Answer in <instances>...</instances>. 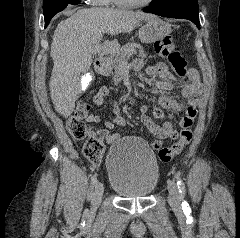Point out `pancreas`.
Masks as SVG:
<instances>
[{
    "label": "pancreas",
    "mask_w": 240,
    "mask_h": 238,
    "mask_svg": "<svg viewBox=\"0 0 240 238\" xmlns=\"http://www.w3.org/2000/svg\"><path fill=\"white\" fill-rule=\"evenodd\" d=\"M132 54H136L141 58H146L147 56V54L143 50V47L137 43L130 42L122 46L113 60V81L116 85L122 81V70L124 67H127L128 59Z\"/></svg>",
    "instance_id": "cf45deb5"
}]
</instances>
